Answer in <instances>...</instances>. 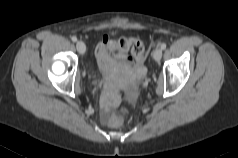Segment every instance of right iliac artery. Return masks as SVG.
<instances>
[{"label":"right iliac artery","instance_id":"obj_1","mask_svg":"<svg viewBox=\"0 0 238 158\" xmlns=\"http://www.w3.org/2000/svg\"><path fill=\"white\" fill-rule=\"evenodd\" d=\"M71 40H72L73 42H76V41H77V38H76L75 36H72V37H71Z\"/></svg>","mask_w":238,"mask_h":158}]
</instances>
